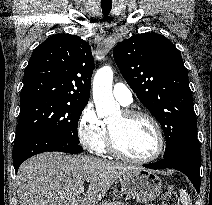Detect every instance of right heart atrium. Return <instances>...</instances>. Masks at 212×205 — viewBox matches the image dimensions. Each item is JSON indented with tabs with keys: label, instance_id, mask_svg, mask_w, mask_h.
I'll list each match as a JSON object with an SVG mask.
<instances>
[{
	"label": "right heart atrium",
	"instance_id": "1",
	"mask_svg": "<svg viewBox=\"0 0 212 205\" xmlns=\"http://www.w3.org/2000/svg\"><path fill=\"white\" fill-rule=\"evenodd\" d=\"M76 132L80 144L90 151H96L104 140L106 127L92 104H87L82 109L77 120Z\"/></svg>",
	"mask_w": 212,
	"mask_h": 205
}]
</instances>
